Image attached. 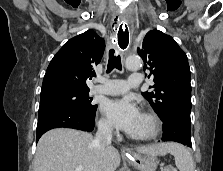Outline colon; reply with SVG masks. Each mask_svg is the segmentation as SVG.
Listing matches in <instances>:
<instances>
[{"label": "colon", "mask_w": 223, "mask_h": 171, "mask_svg": "<svg viewBox=\"0 0 223 171\" xmlns=\"http://www.w3.org/2000/svg\"><path fill=\"white\" fill-rule=\"evenodd\" d=\"M161 171H176V169L173 166L168 165L163 167Z\"/></svg>", "instance_id": "colon-1"}]
</instances>
